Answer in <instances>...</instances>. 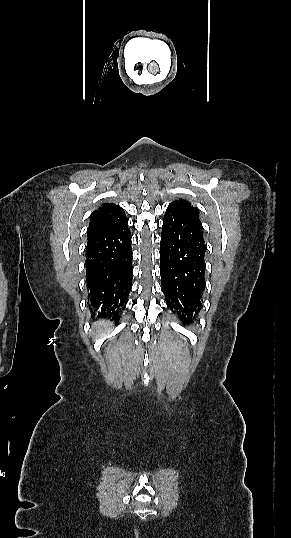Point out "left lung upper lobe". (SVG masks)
<instances>
[{"mask_svg": "<svg viewBox=\"0 0 291 538\" xmlns=\"http://www.w3.org/2000/svg\"><path fill=\"white\" fill-rule=\"evenodd\" d=\"M167 209H173L179 213L189 215L195 218H199L198 213L199 210L196 207H192L191 204L184 199L175 200L172 203L169 204ZM174 313L178 314L179 311L176 310Z\"/></svg>", "mask_w": 291, "mask_h": 538, "instance_id": "1", "label": "left lung upper lobe"}]
</instances>
